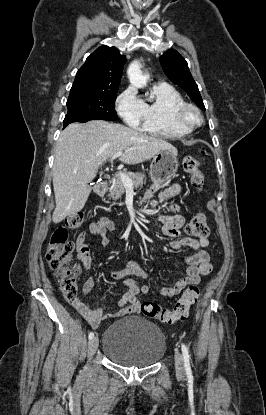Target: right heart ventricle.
Masks as SVG:
<instances>
[{
  "instance_id": "1",
  "label": "right heart ventricle",
  "mask_w": 266,
  "mask_h": 415,
  "mask_svg": "<svg viewBox=\"0 0 266 415\" xmlns=\"http://www.w3.org/2000/svg\"><path fill=\"white\" fill-rule=\"evenodd\" d=\"M185 102L181 93L167 83H157L151 89L150 100L145 105L142 130L149 134L176 139L188 135L192 128L177 123L174 110Z\"/></svg>"
}]
</instances>
